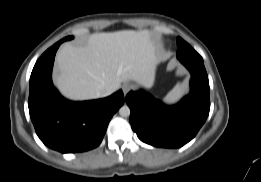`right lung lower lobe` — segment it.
Instances as JSON below:
<instances>
[{
	"instance_id": "98d812e1",
	"label": "right lung lower lobe",
	"mask_w": 261,
	"mask_h": 182,
	"mask_svg": "<svg viewBox=\"0 0 261 182\" xmlns=\"http://www.w3.org/2000/svg\"><path fill=\"white\" fill-rule=\"evenodd\" d=\"M50 47L36 62L30 77L29 113L36 133L48 147L62 153L83 152L97 147L113 114L123 105L120 90L99 100L71 102L52 84L56 51Z\"/></svg>"
}]
</instances>
